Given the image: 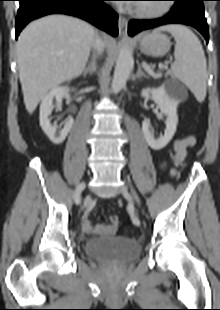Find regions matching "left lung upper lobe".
I'll list each match as a JSON object with an SVG mask.
<instances>
[{"label": "left lung upper lobe", "mask_w": 220, "mask_h": 310, "mask_svg": "<svg viewBox=\"0 0 220 310\" xmlns=\"http://www.w3.org/2000/svg\"><path fill=\"white\" fill-rule=\"evenodd\" d=\"M179 1H181V2L194 1L195 5L203 8V1L204 0H179Z\"/></svg>", "instance_id": "1"}]
</instances>
